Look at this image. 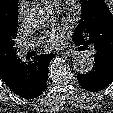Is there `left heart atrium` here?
Here are the masks:
<instances>
[{"mask_svg": "<svg viewBox=\"0 0 113 113\" xmlns=\"http://www.w3.org/2000/svg\"><path fill=\"white\" fill-rule=\"evenodd\" d=\"M67 34L66 26H58L52 30L45 32L40 37L41 45L46 49H55L61 46L62 39Z\"/></svg>", "mask_w": 113, "mask_h": 113, "instance_id": "1", "label": "left heart atrium"}]
</instances>
